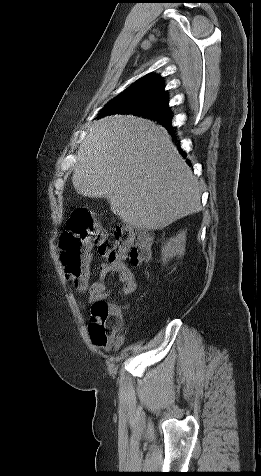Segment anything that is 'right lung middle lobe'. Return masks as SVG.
I'll return each instance as SVG.
<instances>
[{
	"label": "right lung middle lobe",
	"instance_id": "1",
	"mask_svg": "<svg viewBox=\"0 0 261 476\" xmlns=\"http://www.w3.org/2000/svg\"><path fill=\"white\" fill-rule=\"evenodd\" d=\"M111 114H133L158 121L161 125L171 123L168 105L157 101L121 102L116 97L100 111L97 118Z\"/></svg>",
	"mask_w": 261,
	"mask_h": 476
}]
</instances>
